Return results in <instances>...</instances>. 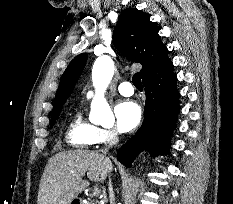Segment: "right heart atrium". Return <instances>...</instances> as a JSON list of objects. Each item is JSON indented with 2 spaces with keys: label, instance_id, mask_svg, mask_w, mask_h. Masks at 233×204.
I'll return each instance as SVG.
<instances>
[{
  "label": "right heart atrium",
  "instance_id": "1",
  "mask_svg": "<svg viewBox=\"0 0 233 204\" xmlns=\"http://www.w3.org/2000/svg\"><path fill=\"white\" fill-rule=\"evenodd\" d=\"M116 138H117V133L114 130L98 128L96 134V143L97 144L110 143L116 140Z\"/></svg>",
  "mask_w": 233,
  "mask_h": 204
}]
</instances>
